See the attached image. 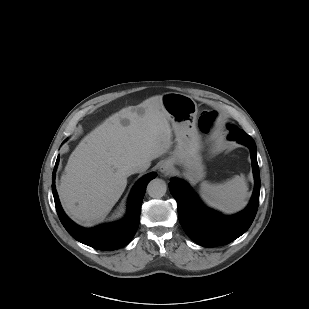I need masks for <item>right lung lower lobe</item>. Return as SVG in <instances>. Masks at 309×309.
<instances>
[{
  "mask_svg": "<svg viewBox=\"0 0 309 309\" xmlns=\"http://www.w3.org/2000/svg\"><path fill=\"white\" fill-rule=\"evenodd\" d=\"M59 159L60 157L58 156L52 174V192L58 216L68 233L79 242L99 250H116L128 244L135 235L139 226L141 204L146 186L150 180L156 177L157 174L152 172L141 178L136 183L130 195L127 215L123 220L118 223L102 225L92 229H85L72 222L65 215L60 205L54 184L56 175L55 172Z\"/></svg>",
  "mask_w": 309,
  "mask_h": 309,
  "instance_id": "1",
  "label": "right lung lower lobe"
}]
</instances>
